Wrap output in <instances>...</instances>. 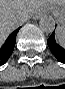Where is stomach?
Returning a JSON list of instances; mask_svg holds the SVG:
<instances>
[{
	"label": "stomach",
	"instance_id": "0dacf381",
	"mask_svg": "<svg viewBox=\"0 0 65 89\" xmlns=\"http://www.w3.org/2000/svg\"><path fill=\"white\" fill-rule=\"evenodd\" d=\"M48 9L57 17L61 27L65 30V3L63 5H50Z\"/></svg>",
	"mask_w": 65,
	"mask_h": 89
}]
</instances>
